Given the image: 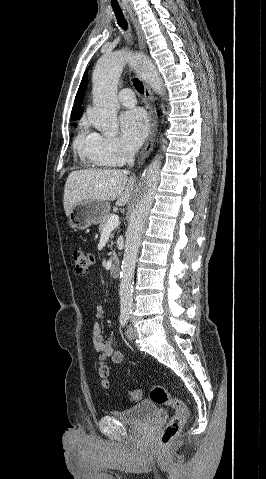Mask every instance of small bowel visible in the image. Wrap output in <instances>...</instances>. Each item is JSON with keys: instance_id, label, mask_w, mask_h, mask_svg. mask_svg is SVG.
<instances>
[{"instance_id": "c3829d8e", "label": "small bowel", "mask_w": 266, "mask_h": 479, "mask_svg": "<svg viewBox=\"0 0 266 479\" xmlns=\"http://www.w3.org/2000/svg\"><path fill=\"white\" fill-rule=\"evenodd\" d=\"M104 308L97 306L94 311V325H93V345L97 352L111 359L114 363H120L125 357V353L116 349L112 341L105 339L102 328L98 321L104 316Z\"/></svg>"}]
</instances>
